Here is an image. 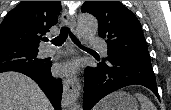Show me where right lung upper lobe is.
I'll return each instance as SVG.
<instances>
[{
  "mask_svg": "<svg viewBox=\"0 0 171 110\" xmlns=\"http://www.w3.org/2000/svg\"><path fill=\"white\" fill-rule=\"evenodd\" d=\"M60 1H22L0 25V47L38 49L41 36L58 21Z\"/></svg>",
  "mask_w": 171,
  "mask_h": 110,
  "instance_id": "cb5924a9",
  "label": "right lung upper lobe"
}]
</instances>
